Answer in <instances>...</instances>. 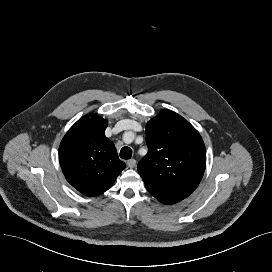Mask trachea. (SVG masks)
Wrapping results in <instances>:
<instances>
[{"label":"trachea","instance_id":"3493384b","mask_svg":"<svg viewBox=\"0 0 272 272\" xmlns=\"http://www.w3.org/2000/svg\"><path fill=\"white\" fill-rule=\"evenodd\" d=\"M120 157L122 159H130L132 157V150L129 147H123L120 151Z\"/></svg>","mask_w":272,"mask_h":272}]
</instances>
